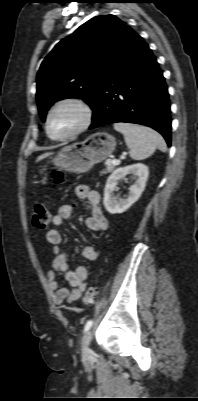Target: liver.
<instances>
[{
    "label": "liver",
    "mask_w": 198,
    "mask_h": 401,
    "mask_svg": "<svg viewBox=\"0 0 198 401\" xmlns=\"http://www.w3.org/2000/svg\"><path fill=\"white\" fill-rule=\"evenodd\" d=\"M51 154H52L51 152H46V153L40 155V156L36 159V162L41 161L42 159L48 157V156L51 155Z\"/></svg>",
    "instance_id": "1"
}]
</instances>
